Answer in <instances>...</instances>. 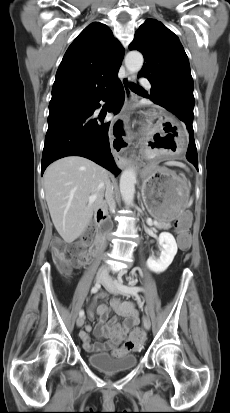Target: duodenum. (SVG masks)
I'll list each match as a JSON object with an SVG mask.
<instances>
[{"label": "duodenum", "mask_w": 230, "mask_h": 413, "mask_svg": "<svg viewBox=\"0 0 230 413\" xmlns=\"http://www.w3.org/2000/svg\"><path fill=\"white\" fill-rule=\"evenodd\" d=\"M96 222L98 225L103 226L107 223L108 221V212L104 206H100L97 211H96ZM101 239L100 237L97 238V242H99ZM97 251V246H93V252Z\"/></svg>", "instance_id": "duodenum-1"}]
</instances>
